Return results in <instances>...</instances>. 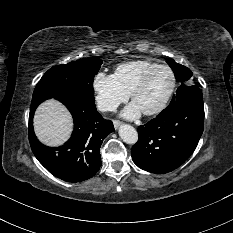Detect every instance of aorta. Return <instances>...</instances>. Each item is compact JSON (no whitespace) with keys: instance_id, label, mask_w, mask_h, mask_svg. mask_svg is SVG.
Here are the masks:
<instances>
[{"instance_id":"1","label":"aorta","mask_w":233,"mask_h":233,"mask_svg":"<svg viewBox=\"0 0 233 233\" xmlns=\"http://www.w3.org/2000/svg\"><path fill=\"white\" fill-rule=\"evenodd\" d=\"M119 136L121 139L130 145L135 144L138 141V133L134 127L128 124H123L119 128Z\"/></svg>"}]
</instances>
